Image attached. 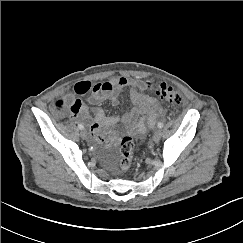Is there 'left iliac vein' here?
<instances>
[{
    "label": "left iliac vein",
    "instance_id": "left-iliac-vein-1",
    "mask_svg": "<svg viewBox=\"0 0 243 243\" xmlns=\"http://www.w3.org/2000/svg\"><path fill=\"white\" fill-rule=\"evenodd\" d=\"M161 130H156L155 132H154V134H153V137H152V139H153V141L154 142H157V141H159L160 140V138H161Z\"/></svg>",
    "mask_w": 243,
    "mask_h": 243
}]
</instances>
